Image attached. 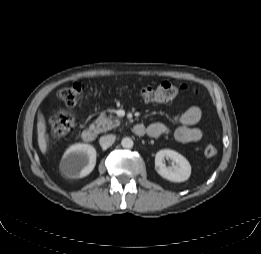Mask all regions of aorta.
<instances>
[{"label":"aorta","instance_id":"aorta-1","mask_svg":"<svg viewBox=\"0 0 261 254\" xmlns=\"http://www.w3.org/2000/svg\"><path fill=\"white\" fill-rule=\"evenodd\" d=\"M121 145L123 148L130 149L133 147L134 143L133 140L129 137H125L121 141Z\"/></svg>","mask_w":261,"mask_h":254}]
</instances>
